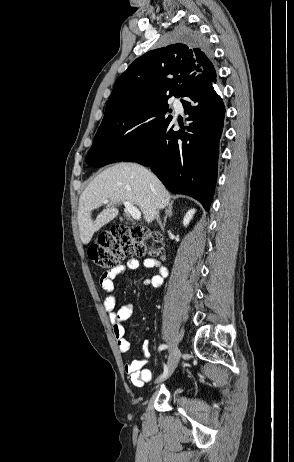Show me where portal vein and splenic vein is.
<instances>
[{
  "label": "portal vein and splenic vein",
  "instance_id": "1",
  "mask_svg": "<svg viewBox=\"0 0 294 462\" xmlns=\"http://www.w3.org/2000/svg\"><path fill=\"white\" fill-rule=\"evenodd\" d=\"M108 203V200L104 201V204ZM126 211L131 215L134 220H140L141 212L131 202L123 201Z\"/></svg>",
  "mask_w": 294,
  "mask_h": 462
}]
</instances>
